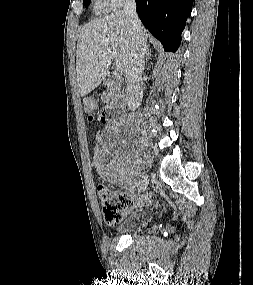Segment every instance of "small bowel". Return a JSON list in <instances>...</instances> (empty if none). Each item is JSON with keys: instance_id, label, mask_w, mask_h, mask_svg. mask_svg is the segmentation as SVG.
Masks as SVG:
<instances>
[{"instance_id": "c3829d8e", "label": "small bowel", "mask_w": 253, "mask_h": 285, "mask_svg": "<svg viewBox=\"0 0 253 285\" xmlns=\"http://www.w3.org/2000/svg\"><path fill=\"white\" fill-rule=\"evenodd\" d=\"M104 114H107V109H99L97 113V122H106V117ZM152 201V195L150 193L144 194L137 198L136 206H144Z\"/></svg>"}]
</instances>
